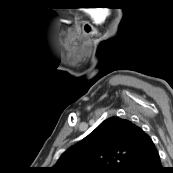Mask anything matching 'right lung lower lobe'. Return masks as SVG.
Returning <instances> with one entry per match:
<instances>
[{
    "label": "right lung lower lobe",
    "mask_w": 173,
    "mask_h": 173,
    "mask_svg": "<svg viewBox=\"0 0 173 173\" xmlns=\"http://www.w3.org/2000/svg\"><path fill=\"white\" fill-rule=\"evenodd\" d=\"M157 149L131 161L121 173H164Z\"/></svg>",
    "instance_id": "1"
}]
</instances>
